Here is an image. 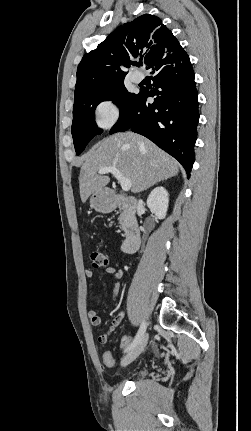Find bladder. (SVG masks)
Listing matches in <instances>:
<instances>
[{
    "mask_svg": "<svg viewBox=\"0 0 251 431\" xmlns=\"http://www.w3.org/2000/svg\"><path fill=\"white\" fill-rule=\"evenodd\" d=\"M147 369L146 368H140L138 370H136L135 372H133L132 376L134 378H141L143 376H145L147 374Z\"/></svg>",
    "mask_w": 251,
    "mask_h": 431,
    "instance_id": "31cf9c89",
    "label": "bladder"
}]
</instances>
